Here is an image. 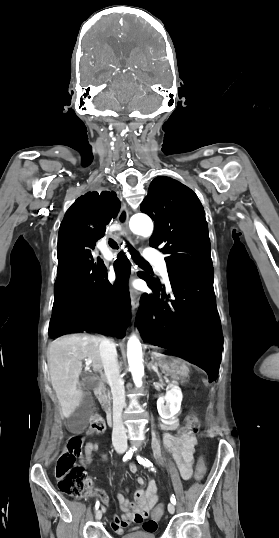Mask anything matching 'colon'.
Returning a JSON list of instances; mask_svg holds the SVG:
<instances>
[{"label":"colon","instance_id":"5ec220e1","mask_svg":"<svg viewBox=\"0 0 279 538\" xmlns=\"http://www.w3.org/2000/svg\"><path fill=\"white\" fill-rule=\"evenodd\" d=\"M200 428L199 418L195 414L187 415L185 419V429L187 434H194ZM105 430V421L102 416L94 414L90 419L88 434H100ZM83 440L79 437L71 438L56 466V477L59 489L72 497L83 495L90 487L91 481L88 478L78 459L82 456ZM206 474V464L202 456L196 461L195 477L202 480ZM164 505H158L153 511V519L159 520L164 513Z\"/></svg>","mask_w":279,"mask_h":538}]
</instances>
